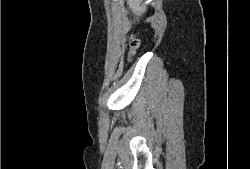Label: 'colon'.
<instances>
[{"mask_svg": "<svg viewBox=\"0 0 250 169\" xmlns=\"http://www.w3.org/2000/svg\"><path fill=\"white\" fill-rule=\"evenodd\" d=\"M140 49V39L132 38L128 45V58L130 59Z\"/></svg>", "mask_w": 250, "mask_h": 169, "instance_id": "1", "label": "colon"}]
</instances>
